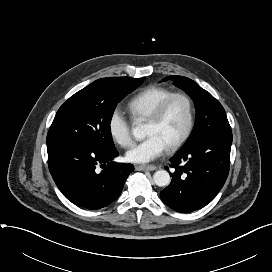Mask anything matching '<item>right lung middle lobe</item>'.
I'll use <instances>...</instances> for the list:
<instances>
[{"instance_id": "obj_1", "label": "right lung middle lobe", "mask_w": 272, "mask_h": 272, "mask_svg": "<svg viewBox=\"0 0 272 272\" xmlns=\"http://www.w3.org/2000/svg\"><path fill=\"white\" fill-rule=\"evenodd\" d=\"M143 80L128 77L102 78L71 96L59 108L48 131V153L74 145L114 149L110 130L114 110Z\"/></svg>"}]
</instances>
